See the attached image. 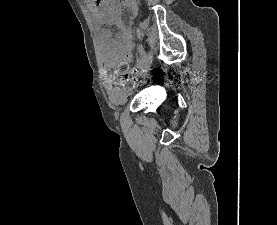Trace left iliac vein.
Masks as SVG:
<instances>
[{"label":"left iliac vein","instance_id":"left-iliac-vein-1","mask_svg":"<svg viewBox=\"0 0 277 225\" xmlns=\"http://www.w3.org/2000/svg\"><path fill=\"white\" fill-rule=\"evenodd\" d=\"M152 61H153V53L151 51H149L145 55L141 74H144V73H146L149 70V68H150V66L152 64Z\"/></svg>","mask_w":277,"mask_h":225}]
</instances>
